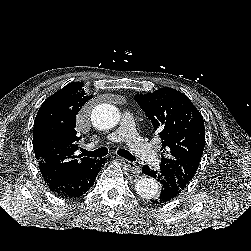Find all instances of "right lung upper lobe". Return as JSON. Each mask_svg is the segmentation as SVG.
Masks as SVG:
<instances>
[{"instance_id":"cb5924a9","label":"right lung upper lobe","mask_w":251,"mask_h":251,"mask_svg":"<svg viewBox=\"0 0 251 251\" xmlns=\"http://www.w3.org/2000/svg\"><path fill=\"white\" fill-rule=\"evenodd\" d=\"M82 82H71L48 97L36 115L33 149L44 180L92 166L97 160L76 155L79 149L76 115L91 99Z\"/></svg>"}]
</instances>
